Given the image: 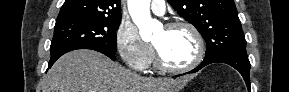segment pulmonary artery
<instances>
[{
    "mask_svg": "<svg viewBox=\"0 0 289 92\" xmlns=\"http://www.w3.org/2000/svg\"><path fill=\"white\" fill-rule=\"evenodd\" d=\"M151 10L157 15H163L166 11V5L164 0H153L151 2Z\"/></svg>",
    "mask_w": 289,
    "mask_h": 92,
    "instance_id": "e3ab8cb5",
    "label": "pulmonary artery"
}]
</instances>
